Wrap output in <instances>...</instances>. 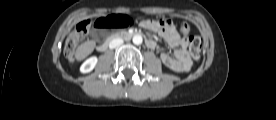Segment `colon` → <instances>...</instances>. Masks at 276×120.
Returning a JSON list of instances; mask_svg holds the SVG:
<instances>
[{"label": "colon", "mask_w": 276, "mask_h": 120, "mask_svg": "<svg viewBox=\"0 0 276 120\" xmlns=\"http://www.w3.org/2000/svg\"><path fill=\"white\" fill-rule=\"evenodd\" d=\"M160 24L163 27H167L172 25L171 21L168 19H161L159 20ZM141 18L139 16H126L121 14H113L111 17H105L98 19L94 26L97 29L98 36L103 35V31L106 29H112V28H136L141 25ZM91 25L90 20H83L79 22L73 32L68 36L64 53L66 57L70 60L74 58L75 51L80 43V39L82 36L87 32ZM179 32L187 38L188 44H189V52L192 55L193 58L198 59L201 56L202 47H203V41L198 36H189L190 27L186 22H182L179 26Z\"/></svg>", "instance_id": "5ec220e1"}]
</instances>
